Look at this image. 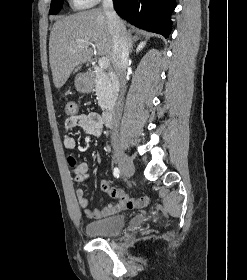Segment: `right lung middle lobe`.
Instances as JSON below:
<instances>
[{
	"mask_svg": "<svg viewBox=\"0 0 247 280\" xmlns=\"http://www.w3.org/2000/svg\"><path fill=\"white\" fill-rule=\"evenodd\" d=\"M63 4V0H52L50 14H57Z\"/></svg>",
	"mask_w": 247,
	"mask_h": 280,
	"instance_id": "right-lung-middle-lobe-1",
	"label": "right lung middle lobe"
}]
</instances>
